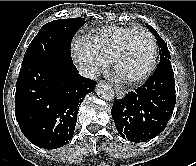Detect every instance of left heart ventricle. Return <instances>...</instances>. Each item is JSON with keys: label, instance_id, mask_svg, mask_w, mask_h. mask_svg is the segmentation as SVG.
I'll return each instance as SVG.
<instances>
[{"label": "left heart ventricle", "instance_id": "left-heart-ventricle-1", "mask_svg": "<svg viewBox=\"0 0 196 166\" xmlns=\"http://www.w3.org/2000/svg\"><path fill=\"white\" fill-rule=\"evenodd\" d=\"M152 46L149 37L143 32L135 33L128 45V50L118 67V75L124 79L141 74L149 65Z\"/></svg>", "mask_w": 196, "mask_h": 166}]
</instances>
